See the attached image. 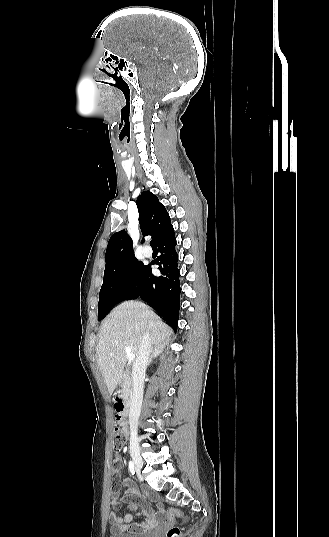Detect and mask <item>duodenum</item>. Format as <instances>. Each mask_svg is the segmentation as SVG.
<instances>
[{
  "instance_id": "410a0bca",
  "label": "duodenum",
  "mask_w": 329,
  "mask_h": 537,
  "mask_svg": "<svg viewBox=\"0 0 329 537\" xmlns=\"http://www.w3.org/2000/svg\"><path fill=\"white\" fill-rule=\"evenodd\" d=\"M130 406V401L126 398L116 397L114 399V407L123 418L129 415Z\"/></svg>"
}]
</instances>
